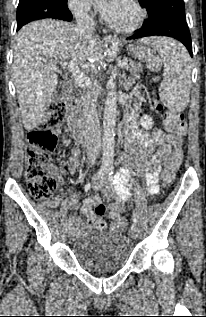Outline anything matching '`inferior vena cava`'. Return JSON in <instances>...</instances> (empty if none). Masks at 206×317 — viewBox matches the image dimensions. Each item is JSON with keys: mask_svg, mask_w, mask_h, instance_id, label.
Segmentation results:
<instances>
[{"mask_svg": "<svg viewBox=\"0 0 206 317\" xmlns=\"http://www.w3.org/2000/svg\"><path fill=\"white\" fill-rule=\"evenodd\" d=\"M90 7L86 4L79 5L75 10L77 20V33L81 40L91 41L95 22L89 15ZM82 113L84 117V147L86 148L88 159L91 162L97 158L101 147L100 123L96 110L95 96L88 91L81 95Z\"/></svg>", "mask_w": 206, "mask_h": 317, "instance_id": "1", "label": "inferior vena cava"}]
</instances>
